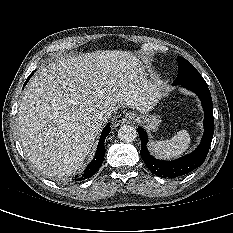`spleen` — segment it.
<instances>
[{
  "label": "spleen",
  "mask_w": 233,
  "mask_h": 233,
  "mask_svg": "<svg viewBox=\"0 0 233 233\" xmlns=\"http://www.w3.org/2000/svg\"><path fill=\"white\" fill-rule=\"evenodd\" d=\"M191 138L186 130L178 131L170 140L153 141L149 149L156 157L169 159L183 154L190 147Z\"/></svg>",
  "instance_id": "spleen-1"
}]
</instances>
